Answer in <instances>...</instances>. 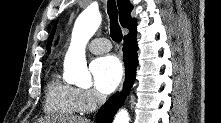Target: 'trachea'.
<instances>
[{
	"mask_svg": "<svg viewBox=\"0 0 221 123\" xmlns=\"http://www.w3.org/2000/svg\"><path fill=\"white\" fill-rule=\"evenodd\" d=\"M108 15L110 17V36L113 41L120 43L122 41V31L118 25V11L114 0L108 1Z\"/></svg>",
	"mask_w": 221,
	"mask_h": 123,
	"instance_id": "obj_1",
	"label": "trachea"
}]
</instances>
